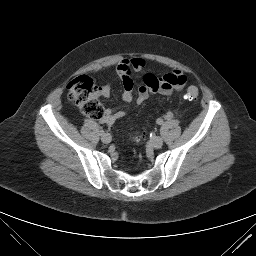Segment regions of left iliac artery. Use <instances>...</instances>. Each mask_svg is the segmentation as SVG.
Segmentation results:
<instances>
[{"mask_svg": "<svg viewBox=\"0 0 256 256\" xmlns=\"http://www.w3.org/2000/svg\"><path fill=\"white\" fill-rule=\"evenodd\" d=\"M157 124H159V125L163 124V120L162 119H157Z\"/></svg>", "mask_w": 256, "mask_h": 256, "instance_id": "left-iliac-artery-1", "label": "left iliac artery"}]
</instances>
